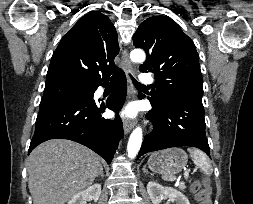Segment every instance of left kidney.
Returning a JSON list of instances; mask_svg holds the SVG:
<instances>
[{
    "mask_svg": "<svg viewBox=\"0 0 253 204\" xmlns=\"http://www.w3.org/2000/svg\"><path fill=\"white\" fill-rule=\"evenodd\" d=\"M147 192L153 204H159L165 198H169L172 203L176 204H190L183 193L171 187H163L153 181L147 184Z\"/></svg>",
    "mask_w": 253,
    "mask_h": 204,
    "instance_id": "1",
    "label": "left kidney"
}]
</instances>
